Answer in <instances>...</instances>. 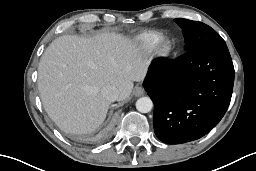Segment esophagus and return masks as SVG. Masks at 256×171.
<instances>
[{"instance_id": "esophagus-1", "label": "esophagus", "mask_w": 256, "mask_h": 171, "mask_svg": "<svg viewBox=\"0 0 256 171\" xmlns=\"http://www.w3.org/2000/svg\"><path fill=\"white\" fill-rule=\"evenodd\" d=\"M133 94L137 97L142 96L144 94V88L140 85L136 86L133 90Z\"/></svg>"}]
</instances>
